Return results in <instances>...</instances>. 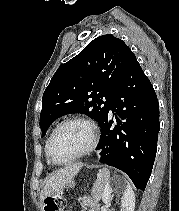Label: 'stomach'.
Wrapping results in <instances>:
<instances>
[{
  "mask_svg": "<svg viewBox=\"0 0 179 211\" xmlns=\"http://www.w3.org/2000/svg\"><path fill=\"white\" fill-rule=\"evenodd\" d=\"M75 186V182H69L68 184H67V188H73Z\"/></svg>",
  "mask_w": 179,
  "mask_h": 211,
  "instance_id": "0dacf381",
  "label": "stomach"
}]
</instances>
